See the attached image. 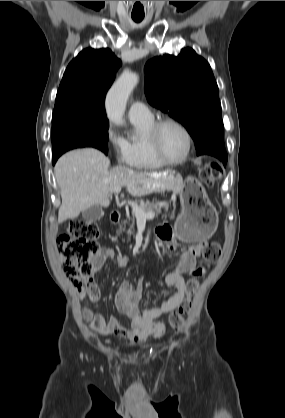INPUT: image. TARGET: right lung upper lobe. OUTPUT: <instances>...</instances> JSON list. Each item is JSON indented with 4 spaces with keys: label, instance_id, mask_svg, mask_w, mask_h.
<instances>
[{
    "label": "right lung upper lobe",
    "instance_id": "1",
    "mask_svg": "<svg viewBox=\"0 0 285 418\" xmlns=\"http://www.w3.org/2000/svg\"><path fill=\"white\" fill-rule=\"evenodd\" d=\"M120 66L110 49H84L66 68L55 107L77 105L105 111V95Z\"/></svg>",
    "mask_w": 285,
    "mask_h": 418
}]
</instances>
